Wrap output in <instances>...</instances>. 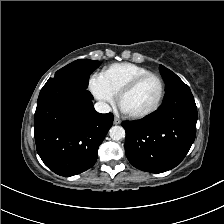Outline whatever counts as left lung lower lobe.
Returning a JSON list of instances; mask_svg holds the SVG:
<instances>
[{
  "mask_svg": "<svg viewBox=\"0 0 224 224\" xmlns=\"http://www.w3.org/2000/svg\"><path fill=\"white\" fill-rule=\"evenodd\" d=\"M197 107L190 89L164 99L159 109L137 121H124L125 152L143 171L161 173L176 167L196 135Z\"/></svg>",
  "mask_w": 224,
  "mask_h": 224,
  "instance_id": "obj_1",
  "label": "left lung lower lobe"
}]
</instances>
